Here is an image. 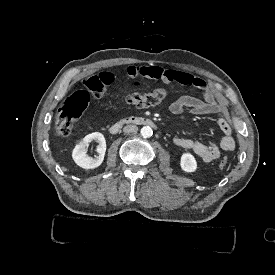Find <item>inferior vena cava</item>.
<instances>
[{"label": "inferior vena cava", "instance_id": "1", "mask_svg": "<svg viewBox=\"0 0 275 275\" xmlns=\"http://www.w3.org/2000/svg\"><path fill=\"white\" fill-rule=\"evenodd\" d=\"M123 131L125 133H134V132H137L138 131V127L136 125H126L124 128H123Z\"/></svg>", "mask_w": 275, "mask_h": 275}]
</instances>
